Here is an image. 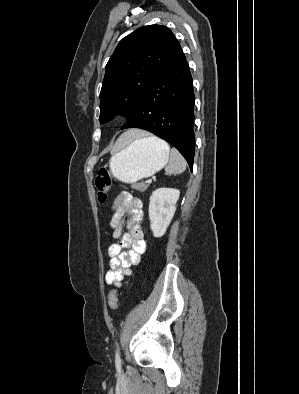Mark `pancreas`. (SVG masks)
<instances>
[{"mask_svg": "<svg viewBox=\"0 0 299 394\" xmlns=\"http://www.w3.org/2000/svg\"><path fill=\"white\" fill-rule=\"evenodd\" d=\"M134 189H137L138 191H145L148 188V184L145 183H136L132 186Z\"/></svg>", "mask_w": 299, "mask_h": 394, "instance_id": "cf45deb5", "label": "pancreas"}]
</instances>
